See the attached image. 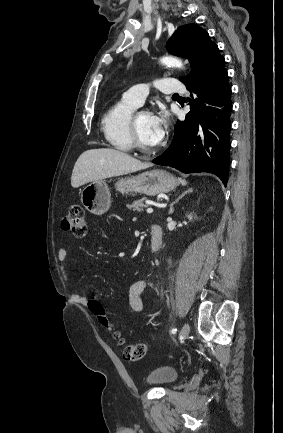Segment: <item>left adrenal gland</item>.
<instances>
[{"mask_svg": "<svg viewBox=\"0 0 283 433\" xmlns=\"http://www.w3.org/2000/svg\"><path fill=\"white\" fill-rule=\"evenodd\" d=\"M192 190L193 188H187V190H185V192H182V194H180V196H178V198H176L174 202H171L168 214H172V212H174L173 204H175V202H178V200H180L182 196H185V194H188V192H192Z\"/></svg>", "mask_w": 283, "mask_h": 433, "instance_id": "a2214340", "label": "left adrenal gland"}]
</instances>
